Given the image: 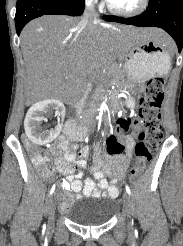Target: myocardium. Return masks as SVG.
<instances>
[{"mask_svg":"<svg viewBox=\"0 0 183 246\" xmlns=\"http://www.w3.org/2000/svg\"><path fill=\"white\" fill-rule=\"evenodd\" d=\"M149 2L150 0H140L139 4L135 8L123 10L115 7L110 1H107V8L110 12H112L115 15L123 17H132L144 12L148 7Z\"/></svg>","mask_w":183,"mask_h":246,"instance_id":"obj_1","label":"myocardium"}]
</instances>
